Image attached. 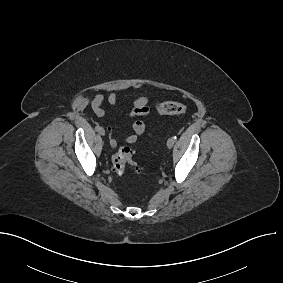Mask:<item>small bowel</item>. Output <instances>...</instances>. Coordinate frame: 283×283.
Masks as SVG:
<instances>
[{"label":"small bowel","instance_id":"obj_1","mask_svg":"<svg viewBox=\"0 0 283 283\" xmlns=\"http://www.w3.org/2000/svg\"><path fill=\"white\" fill-rule=\"evenodd\" d=\"M105 99L111 106L117 107L118 92L112 91L107 95V97H105L101 93H97L94 95L93 99L91 100V108L95 113V115L98 117L105 116V109L103 108V102ZM149 113H150V107H149V100L147 97H139L136 100H134V102L131 105V109L129 111V117L133 119L131 123L133 133L125 138L126 143L129 144L135 143L138 139V136L142 135L146 131V124L137 118L146 116ZM108 130L110 131L109 143L112 147H116L117 141L113 136V133L111 132V128L108 127Z\"/></svg>","mask_w":283,"mask_h":283}]
</instances>
